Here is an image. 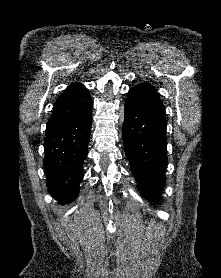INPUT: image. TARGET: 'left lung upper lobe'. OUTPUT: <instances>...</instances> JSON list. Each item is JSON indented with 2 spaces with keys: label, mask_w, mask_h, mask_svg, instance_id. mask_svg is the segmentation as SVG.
I'll return each mask as SVG.
<instances>
[{
  "label": "left lung upper lobe",
  "mask_w": 221,
  "mask_h": 278,
  "mask_svg": "<svg viewBox=\"0 0 221 278\" xmlns=\"http://www.w3.org/2000/svg\"><path fill=\"white\" fill-rule=\"evenodd\" d=\"M126 101L141 107L163 106L157 91L148 83L131 88Z\"/></svg>",
  "instance_id": "5c2ea615"
}]
</instances>
